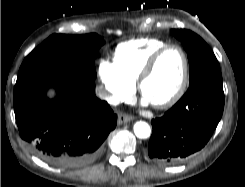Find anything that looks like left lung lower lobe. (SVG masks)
<instances>
[{"mask_svg":"<svg viewBox=\"0 0 245 187\" xmlns=\"http://www.w3.org/2000/svg\"><path fill=\"white\" fill-rule=\"evenodd\" d=\"M223 108L220 71L196 80L163 117L151 121L153 133L147 156L162 165L185 160L208 142L222 117Z\"/></svg>","mask_w":245,"mask_h":187,"instance_id":"1","label":"left lung lower lobe"}]
</instances>
